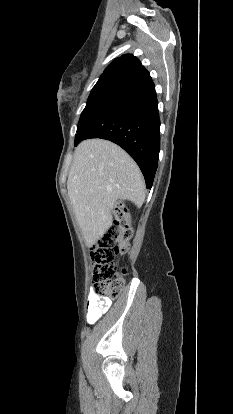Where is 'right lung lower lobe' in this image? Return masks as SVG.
<instances>
[{"instance_id":"obj_1","label":"right lung lower lobe","mask_w":233,"mask_h":414,"mask_svg":"<svg viewBox=\"0 0 233 414\" xmlns=\"http://www.w3.org/2000/svg\"><path fill=\"white\" fill-rule=\"evenodd\" d=\"M88 138L107 139L121 146L139 165L147 188L152 187L160 150V119L149 74L86 114L78 126L75 146Z\"/></svg>"}]
</instances>
